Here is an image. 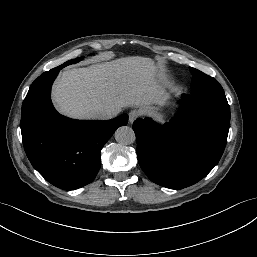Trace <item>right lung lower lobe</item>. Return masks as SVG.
<instances>
[{"mask_svg": "<svg viewBox=\"0 0 257 257\" xmlns=\"http://www.w3.org/2000/svg\"><path fill=\"white\" fill-rule=\"evenodd\" d=\"M60 65L44 72L31 85L22 105L24 150L33 167L51 184L73 190L93 181L100 151L115 130L128 122L123 114L112 120H74L60 115L50 93Z\"/></svg>", "mask_w": 257, "mask_h": 257, "instance_id": "1", "label": "right lung lower lobe"}]
</instances>
